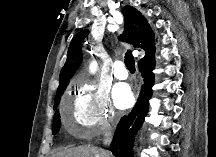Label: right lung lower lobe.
<instances>
[{"label":"right lung lower lobe","mask_w":216,"mask_h":157,"mask_svg":"<svg viewBox=\"0 0 216 157\" xmlns=\"http://www.w3.org/2000/svg\"><path fill=\"white\" fill-rule=\"evenodd\" d=\"M139 68L144 78L143 90L133 110L128 116H123L117 125L111 144V151L115 157H134L132 151L134 134L137 133L148 112L152 86L154 85V74L152 73L155 68L154 56L146 62L139 63Z\"/></svg>","instance_id":"98d812e1"}]
</instances>
